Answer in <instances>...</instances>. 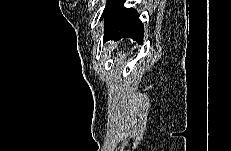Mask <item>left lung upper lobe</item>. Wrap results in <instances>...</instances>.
I'll use <instances>...</instances> for the list:
<instances>
[{
    "instance_id": "5c2ea615",
    "label": "left lung upper lobe",
    "mask_w": 231,
    "mask_h": 151,
    "mask_svg": "<svg viewBox=\"0 0 231 151\" xmlns=\"http://www.w3.org/2000/svg\"><path fill=\"white\" fill-rule=\"evenodd\" d=\"M110 0H108V2H109ZM108 2H107V5H108ZM106 5V6H107ZM104 11H105V9H104ZM104 11H103V13H102V15H101V18H100V20L102 19V16H103V14H104Z\"/></svg>"
}]
</instances>
